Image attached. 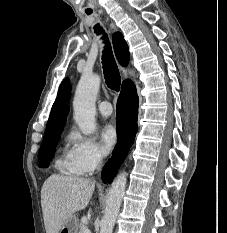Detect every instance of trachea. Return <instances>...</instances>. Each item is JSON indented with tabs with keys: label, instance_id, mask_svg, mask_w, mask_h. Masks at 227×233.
<instances>
[{
	"label": "trachea",
	"instance_id": "1",
	"mask_svg": "<svg viewBox=\"0 0 227 233\" xmlns=\"http://www.w3.org/2000/svg\"><path fill=\"white\" fill-rule=\"evenodd\" d=\"M87 14H91V11H87ZM94 28L96 33H103L98 25H96ZM103 39L105 43V49L103 51L102 64L105 82L111 90L118 92L121 85L120 73L113 56L111 44L108 40L107 34L103 35Z\"/></svg>",
	"mask_w": 227,
	"mask_h": 233
}]
</instances>
